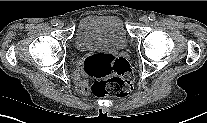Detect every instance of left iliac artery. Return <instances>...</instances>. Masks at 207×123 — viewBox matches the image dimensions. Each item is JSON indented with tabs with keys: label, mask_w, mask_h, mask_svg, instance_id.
Masks as SVG:
<instances>
[{
	"label": "left iliac artery",
	"mask_w": 207,
	"mask_h": 123,
	"mask_svg": "<svg viewBox=\"0 0 207 123\" xmlns=\"http://www.w3.org/2000/svg\"><path fill=\"white\" fill-rule=\"evenodd\" d=\"M148 19H149L150 21H154V20L156 19L155 14H150L149 17H148Z\"/></svg>",
	"instance_id": "44dca946"
}]
</instances>
